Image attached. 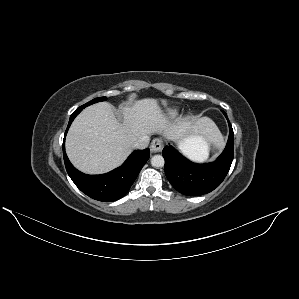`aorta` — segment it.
<instances>
[{
	"label": "aorta",
	"instance_id": "obj_1",
	"mask_svg": "<svg viewBox=\"0 0 299 299\" xmlns=\"http://www.w3.org/2000/svg\"><path fill=\"white\" fill-rule=\"evenodd\" d=\"M164 158L162 155H154L152 158H151V165L153 167H163L164 166Z\"/></svg>",
	"mask_w": 299,
	"mask_h": 299
}]
</instances>
